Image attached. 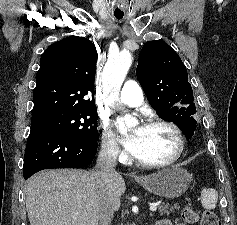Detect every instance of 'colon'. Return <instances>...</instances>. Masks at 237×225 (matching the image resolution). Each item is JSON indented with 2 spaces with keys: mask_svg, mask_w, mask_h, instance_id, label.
Instances as JSON below:
<instances>
[{
  "mask_svg": "<svg viewBox=\"0 0 237 225\" xmlns=\"http://www.w3.org/2000/svg\"><path fill=\"white\" fill-rule=\"evenodd\" d=\"M182 218L186 223L194 224L198 221V214L193 207L185 206L182 209ZM200 225H221V223L214 213L206 212L201 218Z\"/></svg>",
  "mask_w": 237,
  "mask_h": 225,
  "instance_id": "obj_1",
  "label": "colon"
}]
</instances>
